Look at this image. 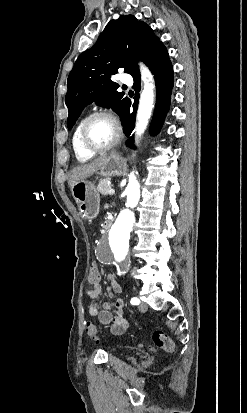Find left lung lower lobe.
Returning a JSON list of instances; mask_svg holds the SVG:
<instances>
[{"mask_svg":"<svg viewBox=\"0 0 247 413\" xmlns=\"http://www.w3.org/2000/svg\"><path fill=\"white\" fill-rule=\"evenodd\" d=\"M147 65L149 66L151 72L154 75L156 83V106L154 110L153 119L150 126L151 134H157L165 120L166 114L169 111L171 93L174 84L173 78V67L169 60L168 52L165 48L158 50L150 58ZM134 85L133 88L136 92L140 91V73L133 76ZM135 101L133 103V113H129L131 102L129 100L128 107L125 111L124 119L122 124L124 126V133L129 136L135 125L136 110L138 105L139 94L136 93L134 97ZM133 136L128 140L127 144L131 147L133 146Z\"/></svg>","mask_w":247,"mask_h":413,"instance_id":"obj_1","label":"left lung lower lobe"}]
</instances>
